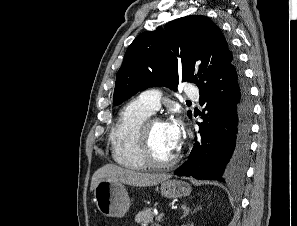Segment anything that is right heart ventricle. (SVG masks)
I'll list each match as a JSON object with an SVG mask.
<instances>
[{"instance_id":"e07e8e85","label":"right heart ventricle","mask_w":297,"mask_h":226,"mask_svg":"<svg viewBox=\"0 0 297 226\" xmlns=\"http://www.w3.org/2000/svg\"><path fill=\"white\" fill-rule=\"evenodd\" d=\"M152 113L139 99L123 107L110 133L111 153L117 164L129 169L145 168L139 151L138 131Z\"/></svg>"}]
</instances>
